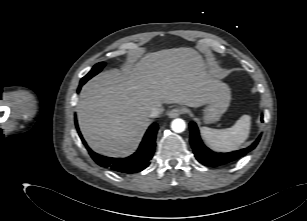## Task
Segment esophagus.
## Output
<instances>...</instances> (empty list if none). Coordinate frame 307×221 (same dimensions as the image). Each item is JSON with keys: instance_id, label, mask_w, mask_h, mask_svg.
<instances>
[{"instance_id": "1", "label": "esophagus", "mask_w": 307, "mask_h": 221, "mask_svg": "<svg viewBox=\"0 0 307 221\" xmlns=\"http://www.w3.org/2000/svg\"><path fill=\"white\" fill-rule=\"evenodd\" d=\"M184 112L183 109H180V108H173L171 109L167 115L169 118H176L178 117L179 115H181L182 113Z\"/></svg>"}]
</instances>
